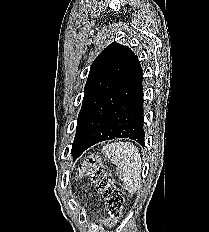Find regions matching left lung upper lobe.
Listing matches in <instances>:
<instances>
[{"label":"left lung upper lobe","mask_w":209,"mask_h":232,"mask_svg":"<svg viewBox=\"0 0 209 232\" xmlns=\"http://www.w3.org/2000/svg\"><path fill=\"white\" fill-rule=\"evenodd\" d=\"M136 58L130 48L116 42L111 43L97 56L85 85L77 128L90 110L107 99L123 82Z\"/></svg>","instance_id":"obj_1"}]
</instances>
